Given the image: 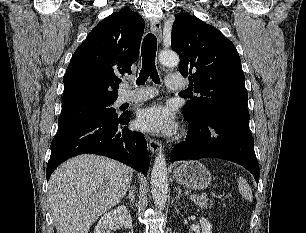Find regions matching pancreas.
Here are the masks:
<instances>
[{
  "label": "pancreas",
  "instance_id": "pancreas-1",
  "mask_svg": "<svg viewBox=\"0 0 306 233\" xmlns=\"http://www.w3.org/2000/svg\"><path fill=\"white\" fill-rule=\"evenodd\" d=\"M195 204L199 207L206 209V208H212L213 202L206 198V196H197V198L194 200Z\"/></svg>",
  "mask_w": 306,
  "mask_h": 233
}]
</instances>
